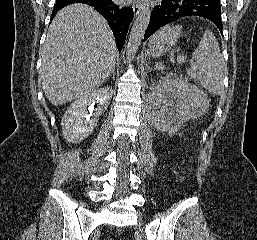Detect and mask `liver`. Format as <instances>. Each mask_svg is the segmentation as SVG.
I'll return each mask as SVG.
<instances>
[{
    "label": "liver",
    "instance_id": "liver-1",
    "mask_svg": "<svg viewBox=\"0 0 257 240\" xmlns=\"http://www.w3.org/2000/svg\"><path fill=\"white\" fill-rule=\"evenodd\" d=\"M118 51L106 20L92 7L73 4L54 17L42 49L40 78L52 105L99 88L114 70Z\"/></svg>",
    "mask_w": 257,
    "mask_h": 240
}]
</instances>
